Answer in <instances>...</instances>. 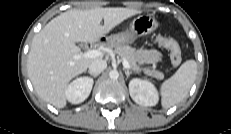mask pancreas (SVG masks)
Instances as JSON below:
<instances>
[{"label": "pancreas", "instance_id": "obj_1", "mask_svg": "<svg viewBox=\"0 0 231 134\" xmlns=\"http://www.w3.org/2000/svg\"><path fill=\"white\" fill-rule=\"evenodd\" d=\"M115 52L121 57L125 58L133 71L140 72L142 69L137 65V60L135 57V49L128 46V45H121V46H115ZM143 72L151 77H154L156 79H163L164 74L157 70H151L148 68H144Z\"/></svg>", "mask_w": 231, "mask_h": 134}]
</instances>
